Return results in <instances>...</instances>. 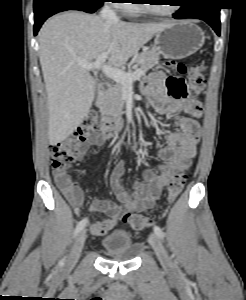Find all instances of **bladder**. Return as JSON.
<instances>
[{"instance_id":"obj_1","label":"bladder","mask_w":246,"mask_h":300,"mask_svg":"<svg viewBox=\"0 0 246 300\" xmlns=\"http://www.w3.org/2000/svg\"><path fill=\"white\" fill-rule=\"evenodd\" d=\"M101 245L107 255L124 261L133 260L139 251L130 233L124 229H115L107 233L102 238Z\"/></svg>"}]
</instances>
